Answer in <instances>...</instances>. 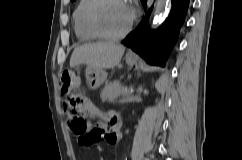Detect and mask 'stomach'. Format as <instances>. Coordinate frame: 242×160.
Masks as SVG:
<instances>
[{"label":"stomach","mask_w":242,"mask_h":160,"mask_svg":"<svg viewBox=\"0 0 242 160\" xmlns=\"http://www.w3.org/2000/svg\"><path fill=\"white\" fill-rule=\"evenodd\" d=\"M126 62L130 67L137 66V60L130 55L126 56ZM86 82L91 90L98 89L107 79V73L103 69H86Z\"/></svg>","instance_id":"0dacf381"}]
</instances>
